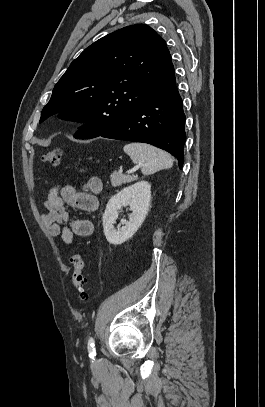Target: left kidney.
<instances>
[{"instance_id":"1","label":"left kidney","mask_w":265,"mask_h":407,"mask_svg":"<svg viewBox=\"0 0 265 407\" xmlns=\"http://www.w3.org/2000/svg\"><path fill=\"white\" fill-rule=\"evenodd\" d=\"M151 201V184L139 181L121 190L111 197L103 214V228L107 241L120 245L130 239L140 228L149 211ZM132 211L129 221L121 220L122 227L115 229L118 211L124 206Z\"/></svg>"}]
</instances>
